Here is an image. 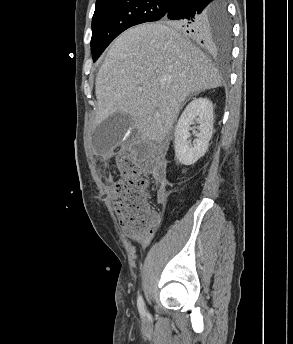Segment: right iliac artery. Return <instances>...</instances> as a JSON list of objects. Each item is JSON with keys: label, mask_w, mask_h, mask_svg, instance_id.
Returning <instances> with one entry per match:
<instances>
[{"label": "right iliac artery", "mask_w": 293, "mask_h": 344, "mask_svg": "<svg viewBox=\"0 0 293 344\" xmlns=\"http://www.w3.org/2000/svg\"><path fill=\"white\" fill-rule=\"evenodd\" d=\"M137 304H138V309H139L140 314L146 315L145 304L141 296L138 297Z\"/></svg>", "instance_id": "82829eb1"}]
</instances>
